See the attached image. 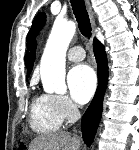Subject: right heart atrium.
Returning <instances> with one entry per match:
<instances>
[{"mask_svg":"<svg viewBox=\"0 0 139 150\" xmlns=\"http://www.w3.org/2000/svg\"><path fill=\"white\" fill-rule=\"evenodd\" d=\"M54 103L63 119L72 120L78 112V107L66 96L53 95Z\"/></svg>","mask_w":139,"mask_h":150,"instance_id":"obj_1","label":"right heart atrium"}]
</instances>
